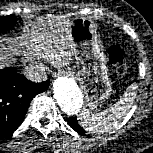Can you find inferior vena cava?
<instances>
[{"mask_svg":"<svg viewBox=\"0 0 153 153\" xmlns=\"http://www.w3.org/2000/svg\"><path fill=\"white\" fill-rule=\"evenodd\" d=\"M24 74L27 79L33 82H41L47 79L46 67L43 64L27 66Z\"/></svg>","mask_w":153,"mask_h":153,"instance_id":"obj_1","label":"inferior vena cava"}]
</instances>
